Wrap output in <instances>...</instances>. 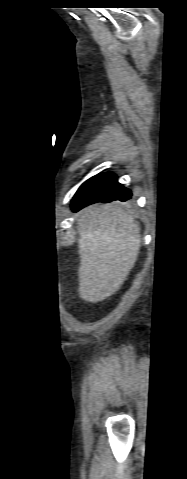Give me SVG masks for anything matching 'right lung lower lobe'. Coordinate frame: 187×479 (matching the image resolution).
<instances>
[{"instance_id":"right-lung-lower-lobe-1","label":"right lung lower lobe","mask_w":187,"mask_h":479,"mask_svg":"<svg viewBox=\"0 0 187 479\" xmlns=\"http://www.w3.org/2000/svg\"><path fill=\"white\" fill-rule=\"evenodd\" d=\"M132 193L117 182L113 173L98 174L84 182L76 192L71 208L74 212L96 202L126 201Z\"/></svg>"}]
</instances>
